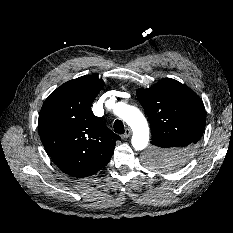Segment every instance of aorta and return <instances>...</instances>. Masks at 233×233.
<instances>
[{
    "instance_id": "obj_1",
    "label": "aorta",
    "mask_w": 233,
    "mask_h": 233,
    "mask_svg": "<svg viewBox=\"0 0 233 233\" xmlns=\"http://www.w3.org/2000/svg\"><path fill=\"white\" fill-rule=\"evenodd\" d=\"M115 114L123 119L132 129V145L136 150H143L149 141V127L141 111L133 106L118 103L114 108Z\"/></svg>"
}]
</instances>
